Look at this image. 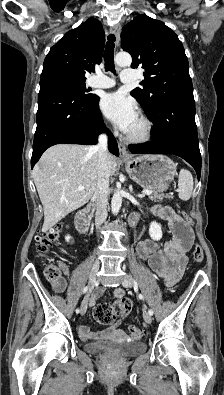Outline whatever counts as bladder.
Listing matches in <instances>:
<instances>
[{"label": "bladder", "mask_w": 224, "mask_h": 395, "mask_svg": "<svg viewBox=\"0 0 224 395\" xmlns=\"http://www.w3.org/2000/svg\"><path fill=\"white\" fill-rule=\"evenodd\" d=\"M109 346L108 342H95L86 345V350L91 353H98ZM146 350L145 343L129 342L118 346V354L121 356H134Z\"/></svg>", "instance_id": "31cf9c89"}]
</instances>
